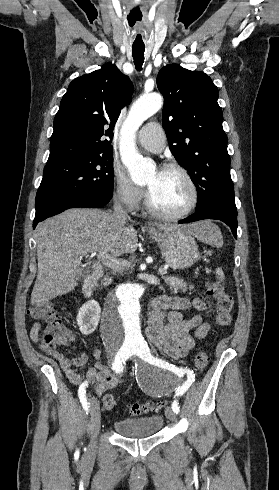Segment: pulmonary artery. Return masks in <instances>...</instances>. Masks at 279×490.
Returning a JSON list of instances; mask_svg holds the SVG:
<instances>
[{"mask_svg":"<svg viewBox=\"0 0 279 490\" xmlns=\"http://www.w3.org/2000/svg\"><path fill=\"white\" fill-rule=\"evenodd\" d=\"M164 133L161 122H151L141 129L139 143L147 150L160 152L165 146Z\"/></svg>","mask_w":279,"mask_h":490,"instance_id":"1","label":"pulmonary artery"}]
</instances>
